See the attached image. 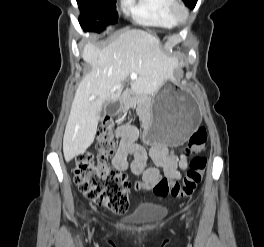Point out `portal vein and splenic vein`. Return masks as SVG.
Instances as JSON below:
<instances>
[{
    "label": "portal vein and splenic vein",
    "mask_w": 264,
    "mask_h": 247,
    "mask_svg": "<svg viewBox=\"0 0 264 247\" xmlns=\"http://www.w3.org/2000/svg\"><path fill=\"white\" fill-rule=\"evenodd\" d=\"M131 79L134 80L136 79V74L135 73H132L131 75ZM121 86V84H118L116 86H114L112 89H111V92H115L117 89H119ZM95 99V96H91V100Z\"/></svg>",
    "instance_id": "1"
}]
</instances>
